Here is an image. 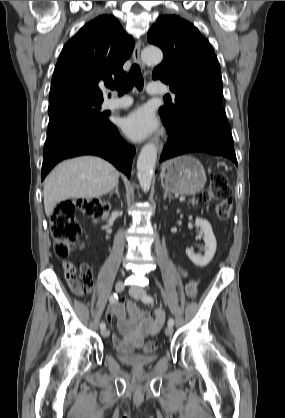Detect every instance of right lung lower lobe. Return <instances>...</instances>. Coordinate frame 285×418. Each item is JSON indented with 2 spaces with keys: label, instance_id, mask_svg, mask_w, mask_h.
I'll use <instances>...</instances> for the list:
<instances>
[{
  "label": "right lung lower lobe",
  "instance_id": "98d812e1",
  "mask_svg": "<svg viewBox=\"0 0 285 418\" xmlns=\"http://www.w3.org/2000/svg\"><path fill=\"white\" fill-rule=\"evenodd\" d=\"M134 154L135 148L121 138L109 121L103 125L72 127L46 140L41 179L60 161L81 155L100 156L130 178Z\"/></svg>",
  "mask_w": 285,
  "mask_h": 418
}]
</instances>
